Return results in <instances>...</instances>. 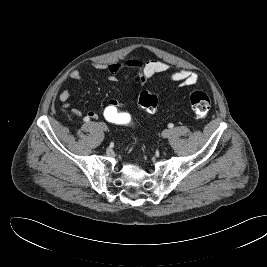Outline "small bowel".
Returning <instances> with one entry per match:
<instances>
[{
	"label": "small bowel",
	"instance_id": "obj_1",
	"mask_svg": "<svg viewBox=\"0 0 267 267\" xmlns=\"http://www.w3.org/2000/svg\"><path fill=\"white\" fill-rule=\"evenodd\" d=\"M169 64L161 60H150L147 62H141L138 60H129L124 64H99L96 65V69L107 70L109 73V80L112 82L117 81V74L120 70L124 68H130L137 71V76L135 82L138 85H143L148 79L152 78L154 75L166 72L169 69ZM69 77L75 82L79 83L82 80L81 73L78 70H72L69 73ZM170 79L177 83L179 86H192L197 83L199 76L197 73L188 70L182 69L176 71L170 75ZM71 97V92L69 90H63L59 93L58 98L63 103V107L69 109L71 113L75 116H80L81 111L77 108H72L69 99ZM110 102L122 106L125 103H122L116 99H111ZM89 119L98 118V114L95 111H89L87 116Z\"/></svg>",
	"mask_w": 267,
	"mask_h": 267
}]
</instances>
